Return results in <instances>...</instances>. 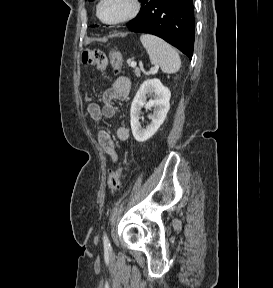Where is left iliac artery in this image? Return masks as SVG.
<instances>
[{"label":"left iliac artery","instance_id":"left-iliac-artery-1","mask_svg":"<svg viewBox=\"0 0 273 288\" xmlns=\"http://www.w3.org/2000/svg\"><path fill=\"white\" fill-rule=\"evenodd\" d=\"M103 242H104V247L105 248H109L110 247V242H109V239H108V236H107L106 233H104Z\"/></svg>","mask_w":273,"mask_h":288}]
</instances>
